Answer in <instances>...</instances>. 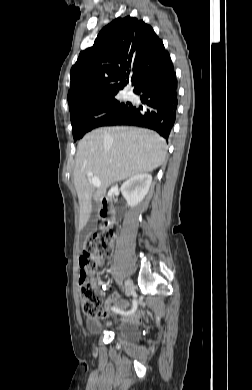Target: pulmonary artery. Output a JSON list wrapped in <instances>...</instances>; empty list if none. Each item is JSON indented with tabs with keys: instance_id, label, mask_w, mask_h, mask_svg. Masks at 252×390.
<instances>
[{
	"instance_id": "obj_1",
	"label": "pulmonary artery",
	"mask_w": 252,
	"mask_h": 390,
	"mask_svg": "<svg viewBox=\"0 0 252 390\" xmlns=\"http://www.w3.org/2000/svg\"><path fill=\"white\" fill-rule=\"evenodd\" d=\"M135 95L132 92H127L126 93V98L128 99H134Z\"/></svg>"
}]
</instances>
